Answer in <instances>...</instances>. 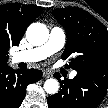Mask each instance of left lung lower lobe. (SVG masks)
I'll list each match as a JSON object with an SVG mask.
<instances>
[{
  "label": "left lung lower lobe",
  "mask_w": 108,
  "mask_h": 108,
  "mask_svg": "<svg viewBox=\"0 0 108 108\" xmlns=\"http://www.w3.org/2000/svg\"><path fill=\"white\" fill-rule=\"evenodd\" d=\"M60 91L47 98L49 108H97L108 90V69L78 72L71 80H60Z\"/></svg>",
  "instance_id": "left-lung-lower-lobe-1"
}]
</instances>
